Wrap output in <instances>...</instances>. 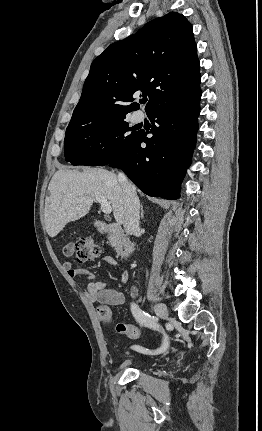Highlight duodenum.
I'll return each mask as SVG.
<instances>
[{
  "label": "duodenum",
  "mask_w": 262,
  "mask_h": 431,
  "mask_svg": "<svg viewBox=\"0 0 262 431\" xmlns=\"http://www.w3.org/2000/svg\"><path fill=\"white\" fill-rule=\"evenodd\" d=\"M99 230L108 233L115 242L117 253L122 257H129L133 252V244L125 235L122 226L118 223L98 222Z\"/></svg>",
  "instance_id": "duodenum-1"
}]
</instances>
